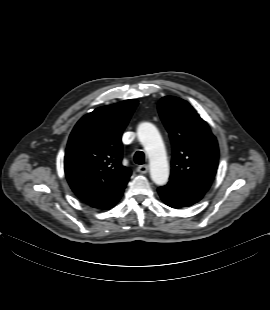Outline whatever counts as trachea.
Masks as SVG:
<instances>
[{"label": "trachea", "instance_id": "1", "mask_svg": "<svg viewBox=\"0 0 270 310\" xmlns=\"http://www.w3.org/2000/svg\"><path fill=\"white\" fill-rule=\"evenodd\" d=\"M134 162L138 165H142L145 162V155L142 151H137L134 154Z\"/></svg>", "mask_w": 270, "mask_h": 310}]
</instances>
